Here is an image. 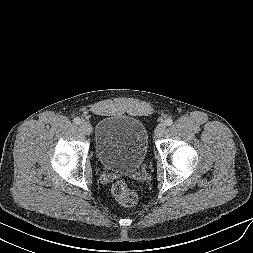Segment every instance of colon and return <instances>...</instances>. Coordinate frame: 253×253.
Listing matches in <instances>:
<instances>
[{
    "mask_svg": "<svg viewBox=\"0 0 253 253\" xmlns=\"http://www.w3.org/2000/svg\"><path fill=\"white\" fill-rule=\"evenodd\" d=\"M112 194L115 199L126 207H132L136 204L138 196L135 190L125 180H119L112 186Z\"/></svg>",
    "mask_w": 253,
    "mask_h": 253,
    "instance_id": "obj_1",
    "label": "colon"
}]
</instances>
